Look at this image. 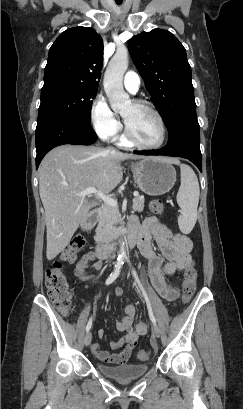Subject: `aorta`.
Here are the masks:
<instances>
[{"label":"aorta","mask_w":243,"mask_h":409,"mask_svg":"<svg viewBox=\"0 0 243 409\" xmlns=\"http://www.w3.org/2000/svg\"><path fill=\"white\" fill-rule=\"evenodd\" d=\"M128 67V53L126 50H119L111 59L105 75L104 89L113 110H119L130 103L129 95L123 89V75ZM119 258L127 257L125 243L120 246Z\"/></svg>","instance_id":"obj_1"}]
</instances>
